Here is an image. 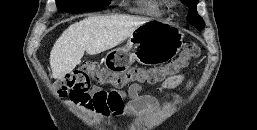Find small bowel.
<instances>
[{"label": "small bowel", "mask_w": 257, "mask_h": 130, "mask_svg": "<svg viewBox=\"0 0 257 130\" xmlns=\"http://www.w3.org/2000/svg\"><path fill=\"white\" fill-rule=\"evenodd\" d=\"M185 80L182 73L166 78L160 86V91L172 90L181 85ZM191 83H188V87ZM142 87L133 84L126 92L104 90L98 86L93 87L89 97L83 100L68 99L64 103L68 106H80L88 112H94L106 118L109 116L119 117L123 114L136 115L144 118L147 112L154 109L158 101L151 95H142ZM178 98L177 95H172Z\"/></svg>", "instance_id": "small-bowel-1"}]
</instances>
